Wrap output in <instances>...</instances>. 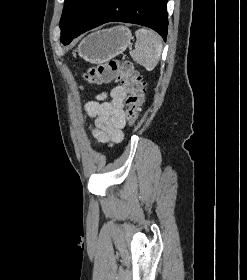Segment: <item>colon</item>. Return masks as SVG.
<instances>
[{
  "label": "colon",
  "instance_id": "obj_1",
  "mask_svg": "<svg viewBox=\"0 0 247 280\" xmlns=\"http://www.w3.org/2000/svg\"><path fill=\"white\" fill-rule=\"evenodd\" d=\"M84 77L90 84L120 81L126 92V119L129 125L135 124L144 101V84L130 61L109 60L89 69Z\"/></svg>",
  "mask_w": 247,
  "mask_h": 280
}]
</instances>
